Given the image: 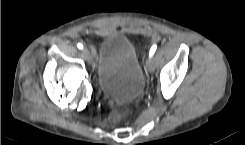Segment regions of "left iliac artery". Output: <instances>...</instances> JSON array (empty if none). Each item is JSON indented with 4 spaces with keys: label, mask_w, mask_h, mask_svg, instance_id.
<instances>
[{
    "label": "left iliac artery",
    "mask_w": 245,
    "mask_h": 145,
    "mask_svg": "<svg viewBox=\"0 0 245 145\" xmlns=\"http://www.w3.org/2000/svg\"><path fill=\"white\" fill-rule=\"evenodd\" d=\"M156 49H157V45L154 44V45L151 47V49H150L149 57H152V56H153V54L155 53Z\"/></svg>",
    "instance_id": "left-iliac-artery-1"
}]
</instances>
